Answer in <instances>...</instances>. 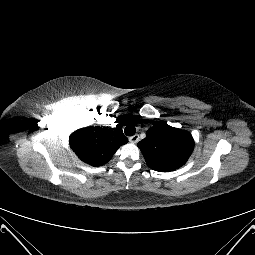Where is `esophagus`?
<instances>
[{
  "label": "esophagus",
  "mask_w": 255,
  "mask_h": 255,
  "mask_svg": "<svg viewBox=\"0 0 255 255\" xmlns=\"http://www.w3.org/2000/svg\"><path fill=\"white\" fill-rule=\"evenodd\" d=\"M129 141L133 144H136L138 141H139V135L138 134H135L131 137H129Z\"/></svg>",
  "instance_id": "esophagus-1"
}]
</instances>
